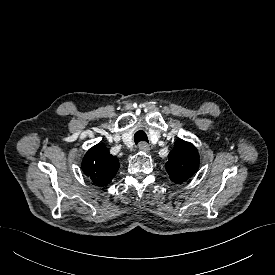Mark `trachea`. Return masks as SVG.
<instances>
[{"label":"trachea","mask_w":275,"mask_h":275,"mask_svg":"<svg viewBox=\"0 0 275 275\" xmlns=\"http://www.w3.org/2000/svg\"><path fill=\"white\" fill-rule=\"evenodd\" d=\"M141 141L148 142L147 135L143 130L137 131L134 135V142L136 145Z\"/></svg>","instance_id":"3493384b"}]
</instances>
